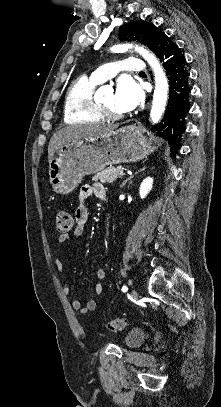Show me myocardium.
I'll list each match as a JSON object with an SVG mask.
<instances>
[{
  "label": "myocardium",
  "instance_id": "1",
  "mask_svg": "<svg viewBox=\"0 0 221 407\" xmlns=\"http://www.w3.org/2000/svg\"><path fill=\"white\" fill-rule=\"evenodd\" d=\"M99 113L103 118H108V119H121L125 117V113H120L116 112L110 108H108L105 104L103 103H98L97 104Z\"/></svg>",
  "mask_w": 221,
  "mask_h": 407
}]
</instances>
